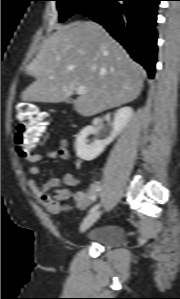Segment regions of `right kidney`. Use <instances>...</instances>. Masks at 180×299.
Returning <instances> with one entry per match:
<instances>
[{"instance_id":"ca27d5eb","label":"right kidney","mask_w":180,"mask_h":299,"mask_svg":"<svg viewBox=\"0 0 180 299\" xmlns=\"http://www.w3.org/2000/svg\"><path fill=\"white\" fill-rule=\"evenodd\" d=\"M132 116L133 109L131 107L118 109L114 115L113 129L110 135L103 140L96 139L94 142L89 143L88 136L99 131L100 119H94L92 125L83 128L76 138L75 148L77 156L85 161L97 158L104 151L105 147L123 131Z\"/></svg>"}]
</instances>
